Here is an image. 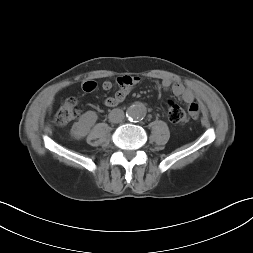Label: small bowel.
<instances>
[{
	"label": "small bowel",
	"instance_id": "c3829d8e",
	"mask_svg": "<svg viewBox=\"0 0 253 253\" xmlns=\"http://www.w3.org/2000/svg\"><path fill=\"white\" fill-rule=\"evenodd\" d=\"M140 78L137 76H121L117 79L119 85L118 91L104 100V104L108 107H115L125 100L130 90L134 85L139 83ZM162 87L165 90H171V92L179 98L182 102L187 104L184 108V114L188 118H196L199 115L200 105L196 101L194 92L178 82H172L170 79H164L162 81ZM82 88L85 92H92L97 88V84L92 80H87L82 84ZM102 88L106 91L112 88L110 81H104Z\"/></svg>",
	"mask_w": 253,
	"mask_h": 253
}]
</instances>
